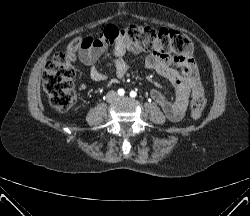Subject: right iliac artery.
I'll return each mask as SVG.
<instances>
[{"mask_svg":"<svg viewBox=\"0 0 250 216\" xmlns=\"http://www.w3.org/2000/svg\"><path fill=\"white\" fill-rule=\"evenodd\" d=\"M118 94H119L120 96H123V95L125 94V91H124L123 89H119V90H118Z\"/></svg>","mask_w":250,"mask_h":216,"instance_id":"1","label":"right iliac artery"}]
</instances>
